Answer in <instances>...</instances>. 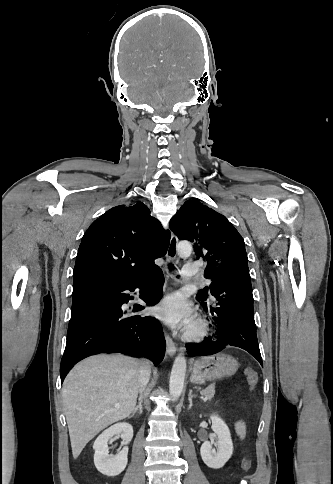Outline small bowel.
<instances>
[{
    "instance_id": "c3829d8e",
    "label": "small bowel",
    "mask_w": 333,
    "mask_h": 484,
    "mask_svg": "<svg viewBox=\"0 0 333 484\" xmlns=\"http://www.w3.org/2000/svg\"><path fill=\"white\" fill-rule=\"evenodd\" d=\"M235 432L239 439H243L246 434V425L242 420H236L234 422Z\"/></svg>"
}]
</instances>
